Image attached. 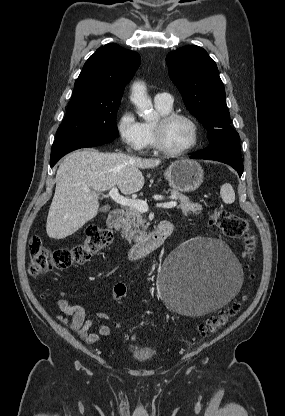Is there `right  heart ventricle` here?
Returning a JSON list of instances; mask_svg holds the SVG:
<instances>
[{"mask_svg":"<svg viewBox=\"0 0 285 416\" xmlns=\"http://www.w3.org/2000/svg\"><path fill=\"white\" fill-rule=\"evenodd\" d=\"M157 108L160 114H164L171 111V108L157 103ZM144 131L147 137V147L154 148V137H153V122L143 123Z\"/></svg>","mask_w":285,"mask_h":416,"instance_id":"e07e8e85","label":"right heart ventricle"}]
</instances>
